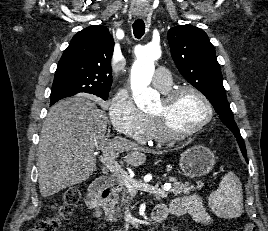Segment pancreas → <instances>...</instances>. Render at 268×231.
<instances>
[{
  "instance_id": "pancreas-1",
  "label": "pancreas",
  "mask_w": 268,
  "mask_h": 231,
  "mask_svg": "<svg viewBox=\"0 0 268 231\" xmlns=\"http://www.w3.org/2000/svg\"><path fill=\"white\" fill-rule=\"evenodd\" d=\"M169 182L171 184L170 192L173 193L174 196L190 194L191 191L200 189L202 187L200 182H198L197 186L195 187L189 182L182 183L174 177H171ZM129 200L130 197L128 188L119 182L118 185L111 191V196L104 205V212L107 219L110 222H117L121 216V210L124 209L125 206H128Z\"/></svg>"
}]
</instances>
